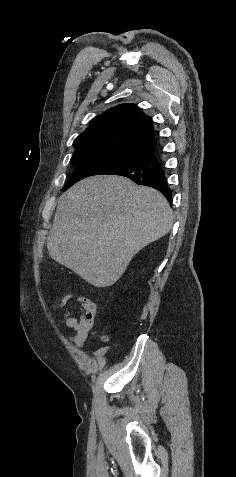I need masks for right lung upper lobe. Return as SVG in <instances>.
I'll use <instances>...</instances> for the list:
<instances>
[{"mask_svg":"<svg viewBox=\"0 0 236 477\" xmlns=\"http://www.w3.org/2000/svg\"><path fill=\"white\" fill-rule=\"evenodd\" d=\"M154 130L150 118L134 104H121L91 121L73 145L71 161L107 159L124 167L134 164L131 158L142 159L154 153Z\"/></svg>","mask_w":236,"mask_h":477,"instance_id":"cb5924a9","label":"right lung upper lobe"}]
</instances>
